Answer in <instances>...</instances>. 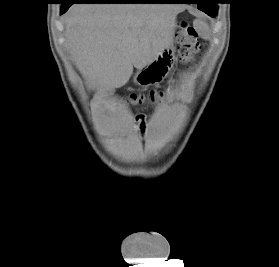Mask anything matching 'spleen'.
I'll list each match as a JSON object with an SVG mask.
<instances>
[{
  "label": "spleen",
  "instance_id": "spleen-1",
  "mask_svg": "<svg viewBox=\"0 0 279 267\" xmlns=\"http://www.w3.org/2000/svg\"><path fill=\"white\" fill-rule=\"evenodd\" d=\"M199 25L201 27V31L203 33H207L208 32V25L206 23H203V22H199Z\"/></svg>",
  "mask_w": 279,
  "mask_h": 267
}]
</instances>
